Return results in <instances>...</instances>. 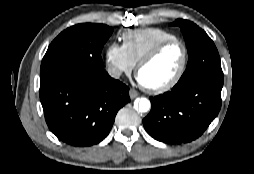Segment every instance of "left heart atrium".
I'll use <instances>...</instances> for the list:
<instances>
[{"instance_id": "obj_1", "label": "left heart atrium", "mask_w": 254, "mask_h": 174, "mask_svg": "<svg viewBox=\"0 0 254 174\" xmlns=\"http://www.w3.org/2000/svg\"><path fill=\"white\" fill-rule=\"evenodd\" d=\"M137 80H138V82H139L140 84H143L138 76H137Z\"/></svg>"}]
</instances>
